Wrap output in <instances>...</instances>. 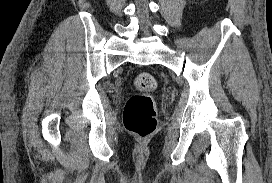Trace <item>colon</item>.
I'll return each mask as SVG.
<instances>
[{"label":"colon","mask_w":272,"mask_h":183,"mask_svg":"<svg viewBox=\"0 0 272 183\" xmlns=\"http://www.w3.org/2000/svg\"><path fill=\"white\" fill-rule=\"evenodd\" d=\"M134 86L139 93L128 99L123 122L130 133L140 138H147L157 126V111L151 95L157 87V82L151 73L141 72L135 77Z\"/></svg>","instance_id":"5ec220e1"}]
</instances>
